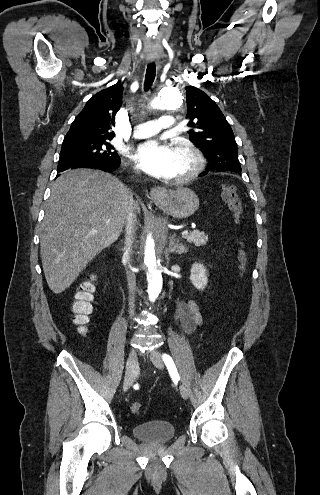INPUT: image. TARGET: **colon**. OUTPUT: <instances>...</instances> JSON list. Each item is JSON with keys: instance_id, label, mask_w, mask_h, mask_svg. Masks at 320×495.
<instances>
[{"instance_id": "obj_1", "label": "colon", "mask_w": 320, "mask_h": 495, "mask_svg": "<svg viewBox=\"0 0 320 495\" xmlns=\"http://www.w3.org/2000/svg\"><path fill=\"white\" fill-rule=\"evenodd\" d=\"M221 197L226 202L235 220L239 221L241 219L242 208L236 188L231 184L222 185ZM247 260L248 252L246 246L242 243L238 251L239 271L241 275H244L246 272ZM73 312L75 321L80 326V329H83L92 312V285L90 283L83 284L76 293ZM130 410L134 415H140L143 410L142 404L134 402L131 404Z\"/></svg>"}]
</instances>
